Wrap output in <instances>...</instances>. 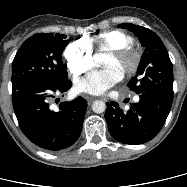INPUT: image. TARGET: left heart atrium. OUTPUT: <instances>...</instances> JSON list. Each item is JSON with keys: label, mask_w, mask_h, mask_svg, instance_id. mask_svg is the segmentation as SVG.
Wrapping results in <instances>:
<instances>
[{"label": "left heart atrium", "mask_w": 187, "mask_h": 187, "mask_svg": "<svg viewBox=\"0 0 187 187\" xmlns=\"http://www.w3.org/2000/svg\"><path fill=\"white\" fill-rule=\"evenodd\" d=\"M122 74L113 67L92 70L75 81V89L80 93L101 95L117 84Z\"/></svg>", "instance_id": "left-heart-atrium-1"}]
</instances>
